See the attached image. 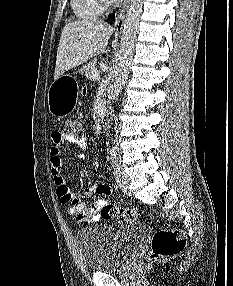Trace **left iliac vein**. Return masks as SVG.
<instances>
[{"label": "left iliac vein", "instance_id": "4c4485c4", "mask_svg": "<svg viewBox=\"0 0 233 286\" xmlns=\"http://www.w3.org/2000/svg\"><path fill=\"white\" fill-rule=\"evenodd\" d=\"M115 175L120 189L125 194H130V189H129L130 179L128 175L120 168L115 170Z\"/></svg>", "mask_w": 233, "mask_h": 286}]
</instances>
